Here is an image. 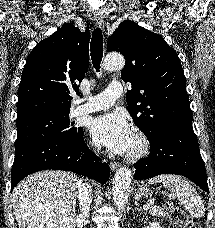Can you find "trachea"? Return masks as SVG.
Masks as SVG:
<instances>
[{
    "mask_svg": "<svg viewBox=\"0 0 215 228\" xmlns=\"http://www.w3.org/2000/svg\"><path fill=\"white\" fill-rule=\"evenodd\" d=\"M103 57V35L100 28H96L91 38V60L96 71H100V63Z\"/></svg>",
    "mask_w": 215,
    "mask_h": 228,
    "instance_id": "trachea-1",
    "label": "trachea"
}]
</instances>
